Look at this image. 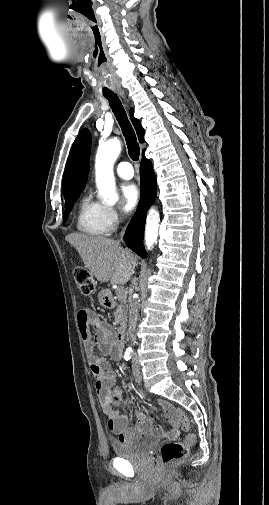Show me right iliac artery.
Instances as JSON below:
<instances>
[{
  "instance_id": "82829eb1",
  "label": "right iliac artery",
  "mask_w": 269,
  "mask_h": 505,
  "mask_svg": "<svg viewBox=\"0 0 269 505\" xmlns=\"http://www.w3.org/2000/svg\"><path fill=\"white\" fill-rule=\"evenodd\" d=\"M130 358H131V352H130V351H126V352L124 353V359H125L126 361H128V360H130Z\"/></svg>"
}]
</instances>
